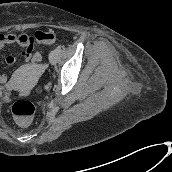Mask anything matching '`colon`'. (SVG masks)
<instances>
[{"label": "colon", "mask_w": 172, "mask_h": 172, "mask_svg": "<svg viewBox=\"0 0 172 172\" xmlns=\"http://www.w3.org/2000/svg\"><path fill=\"white\" fill-rule=\"evenodd\" d=\"M55 39L56 35L53 31H46L40 38V41L43 43H52ZM12 113L19 124L26 126L35 113V107L30 101L20 100L14 103Z\"/></svg>", "instance_id": "colon-1"}]
</instances>
